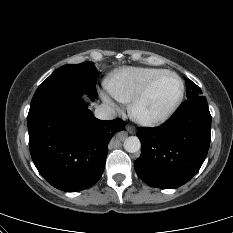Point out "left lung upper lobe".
<instances>
[{"mask_svg": "<svg viewBox=\"0 0 233 233\" xmlns=\"http://www.w3.org/2000/svg\"><path fill=\"white\" fill-rule=\"evenodd\" d=\"M185 83L187 85V98L191 99L193 97L201 95V89L190 79H185Z\"/></svg>", "mask_w": 233, "mask_h": 233, "instance_id": "1", "label": "left lung upper lobe"}]
</instances>
